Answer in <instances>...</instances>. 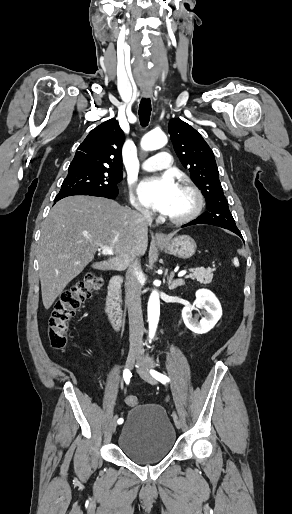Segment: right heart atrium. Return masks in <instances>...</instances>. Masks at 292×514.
I'll use <instances>...</instances> for the list:
<instances>
[{
	"mask_svg": "<svg viewBox=\"0 0 292 514\" xmlns=\"http://www.w3.org/2000/svg\"><path fill=\"white\" fill-rule=\"evenodd\" d=\"M128 186H129V189H130L131 201H132L133 206L136 209H142V212H143L145 207H144L142 201L133 194L134 182L133 181H129Z\"/></svg>",
	"mask_w": 292,
	"mask_h": 514,
	"instance_id": "1",
	"label": "right heart atrium"
}]
</instances>
